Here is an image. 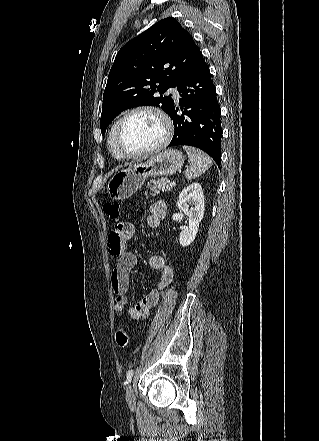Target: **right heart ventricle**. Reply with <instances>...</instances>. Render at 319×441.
<instances>
[{
	"mask_svg": "<svg viewBox=\"0 0 319 441\" xmlns=\"http://www.w3.org/2000/svg\"><path fill=\"white\" fill-rule=\"evenodd\" d=\"M117 121H115L113 123V125L111 126V129L109 131V135H108V147L110 150V153L112 154V156L118 160H123L126 157H124L116 148L115 145V141H114V132H115V127H116Z\"/></svg>",
	"mask_w": 319,
	"mask_h": 441,
	"instance_id": "1",
	"label": "right heart ventricle"
}]
</instances>
